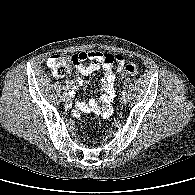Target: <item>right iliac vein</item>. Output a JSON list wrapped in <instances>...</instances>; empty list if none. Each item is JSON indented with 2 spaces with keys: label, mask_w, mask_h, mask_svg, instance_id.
<instances>
[{
  "label": "right iliac vein",
  "mask_w": 195,
  "mask_h": 195,
  "mask_svg": "<svg viewBox=\"0 0 195 195\" xmlns=\"http://www.w3.org/2000/svg\"><path fill=\"white\" fill-rule=\"evenodd\" d=\"M62 100H63V102H65V103H69L70 97H69V94H68L67 92H64V93L62 94Z\"/></svg>",
  "instance_id": "obj_1"
}]
</instances>
